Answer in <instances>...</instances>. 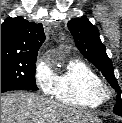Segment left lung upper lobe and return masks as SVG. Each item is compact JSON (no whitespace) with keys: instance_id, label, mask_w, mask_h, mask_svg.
I'll use <instances>...</instances> for the list:
<instances>
[{"instance_id":"obj_1","label":"left lung upper lobe","mask_w":122,"mask_h":123,"mask_svg":"<svg viewBox=\"0 0 122 123\" xmlns=\"http://www.w3.org/2000/svg\"><path fill=\"white\" fill-rule=\"evenodd\" d=\"M68 28L82 55L103 73L110 85L118 92L113 112L122 116L120 88L114 76L112 62L99 38L97 27L93 26L87 18H75L68 22Z\"/></svg>"}]
</instances>
